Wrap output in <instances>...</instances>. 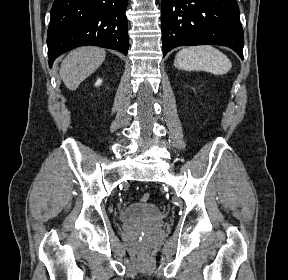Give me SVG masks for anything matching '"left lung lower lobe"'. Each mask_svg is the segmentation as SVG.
<instances>
[{
  "instance_id": "obj_1",
  "label": "left lung lower lobe",
  "mask_w": 288,
  "mask_h": 280,
  "mask_svg": "<svg viewBox=\"0 0 288 280\" xmlns=\"http://www.w3.org/2000/svg\"><path fill=\"white\" fill-rule=\"evenodd\" d=\"M161 27L163 57L178 46L222 45L243 59L236 0H162Z\"/></svg>"
}]
</instances>
